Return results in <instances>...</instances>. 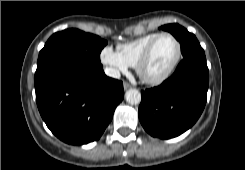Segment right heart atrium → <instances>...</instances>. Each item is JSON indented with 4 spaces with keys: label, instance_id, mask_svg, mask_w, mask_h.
Returning a JSON list of instances; mask_svg holds the SVG:
<instances>
[{
    "label": "right heart atrium",
    "instance_id": "obj_1",
    "mask_svg": "<svg viewBox=\"0 0 245 170\" xmlns=\"http://www.w3.org/2000/svg\"><path fill=\"white\" fill-rule=\"evenodd\" d=\"M101 62L107 66V73L112 77H116L120 72L126 71L128 64L123 60L118 51L106 46L100 54Z\"/></svg>",
    "mask_w": 245,
    "mask_h": 170
}]
</instances>
